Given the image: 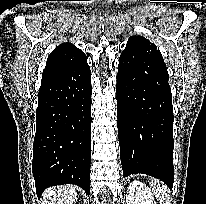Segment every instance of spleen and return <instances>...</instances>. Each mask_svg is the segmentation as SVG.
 Segmentation results:
<instances>
[{"mask_svg":"<svg viewBox=\"0 0 206 204\" xmlns=\"http://www.w3.org/2000/svg\"><path fill=\"white\" fill-rule=\"evenodd\" d=\"M154 195L159 199L160 204H169L167 195V186L157 179L150 181Z\"/></svg>","mask_w":206,"mask_h":204,"instance_id":"obj_1","label":"spleen"}]
</instances>
